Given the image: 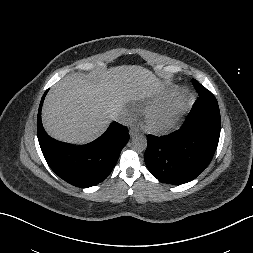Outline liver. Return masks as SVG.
I'll use <instances>...</instances> for the list:
<instances>
[{
    "instance_id": "obj_1",
    "label": "liver",
    "mask_w": 253,
    "mask_h": 253,
    "mask_svg": "<svg viewBox=\"0 0 253 253\" xmlns=\"http://www.w3.org/2000/svg\"><path fill=\"white\" fill-rule=\"evenodd\" d=\"M162 88L150 70L138 65L111 67L94 77L73 73L50 89L42 123L57 140L88 143L107 129L113 114L128 101L149 97Z\"/></svg>"
}]
</instances>
